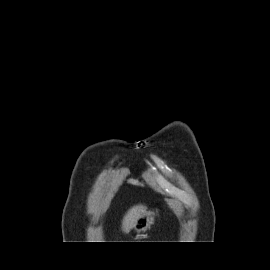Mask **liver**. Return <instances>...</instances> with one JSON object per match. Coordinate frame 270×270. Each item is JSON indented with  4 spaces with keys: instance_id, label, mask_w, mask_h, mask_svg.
<instances>
[{
    "instance_id": "liver-1",
    "label": "liver",
    "mask_w": 270,
    "mask_h": 270,
    "mask_svg": "<svg viewBox=\"0 0 270 270\" xmlns=\"http://www.w3.org/2000/svg\"><path fill=\"white\" fill-rule=\"evenodd\" d=\"M146 211L144 205H136L128 210L122 221L123 232H128L133 228L137 219Z\"/></svg>"
}]
</instances>
